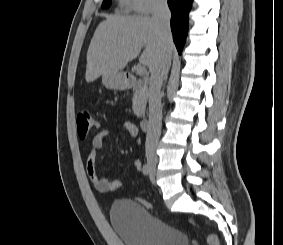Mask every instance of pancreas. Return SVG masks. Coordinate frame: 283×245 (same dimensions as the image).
Masks as SVG:
<instances>
[{
	"instance_id": "obj_1",
	"label": "pancreas",
	"mask_w": 283,
	"mask_h": 245,
	"mask_svg": "<svg viewBox=\"0 0 283 245\" xmlns=\"http://www.w3.org/2000/svg\"><path fill=\"white\" fill-rule=\"evenodd\" d=\"M132 102L134 114L137 117H141L145 112L147 104V86L141 80L138 81V85L134 91Z\"/></svg>"
}]
</instances>
